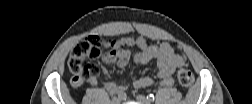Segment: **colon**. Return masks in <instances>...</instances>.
<instances>
[{"instance_id":"5ec220e1","label":"colon","mask_w":252,"mask_h":104,"mask_svg":"<svg viewBox=\"0 0 252 104\" xmlns=\"http://www.w3.org/2000/svg\"><path fill=\"white\" fill-rule=\"evenodd\" d=\"M116 42L114 40L94 35L78 42L72 49L67 66L72 74L73 86L80 85L83 81L94 75V68L83 63L84 59H99L114 53ZM179 83L184 87H190L194 83V75L184 67L177 72Z\"/></svg>"}]
</instances>
